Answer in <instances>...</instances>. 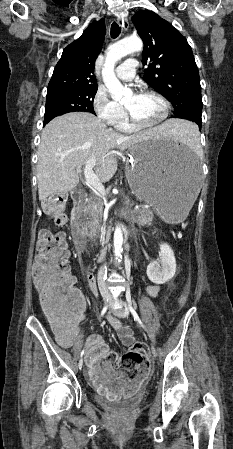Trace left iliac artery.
I'll list each match as a JSON object with an SVG mask.
<instances>
[{
    "instance_id": "left-iliac-artery-1",
    "label": "left iliac artery",
    "mask_w": 233,
    "mask_h": 449,
    "mask_svg": "<svg viewBox=\"0 0 233 449\" xmlns=\"http://www.w3.org/2000/svg\"><path fill=\"white\" fill-rule=\"evenodd\" d=\"M126 299H127V303H128V308H129V310H130V312H131V314H132L134 320H135L141 327L144 328V325H143L141 319L139 318V316H138V314H137V312H136V310H135L134 304H133V302H132V300H131V294H130V291H127V292H126Z\"/></svg>"
}]
</instances>
